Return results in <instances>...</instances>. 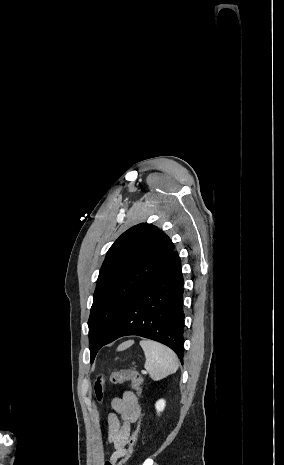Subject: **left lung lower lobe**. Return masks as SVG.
Segmentation results:
<instances>
[{
	"instance_id": "1",
	"label": "left lung lower lobe",
	"mask_w": 284,
	"mask_h": 465,
	"mask_svg": "<svg viewBox=\"0 0 284 465\" xmlns=\"http://www.w3.org/2000/svg\"><path fill=\"white\" fill-rule=\"evenodd\" d=\"M183 276L176 251L134 295L103 346L128 335H137L170 347L183 364Z\"/></svg>"
}]
</instances>
